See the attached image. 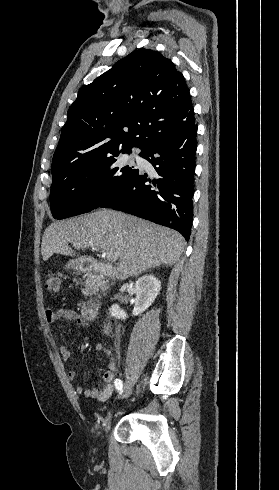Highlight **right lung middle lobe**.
I'll list each match as a JSON object with an SVG mask.
<instances>
[{
    "label": "right lung middle lobe",
    "instance_id": "right-lung-middle-lobe-1",
    "mask_svg": "<svg viewBox=\"0 0 279 490\" xmlns=\"http://www.w3.org/2000/svg\"><path fill=\"white\" fill-rule=\"evenodd\" d=\"M119 154L110 151L66 176L54 178L50 192L53 217L64 219L96 209L136 176L139 170L122 165L117 159Z\"/></svg>",
    "mask_w": 279,
    "mask_h": 490
}]
</instances>
